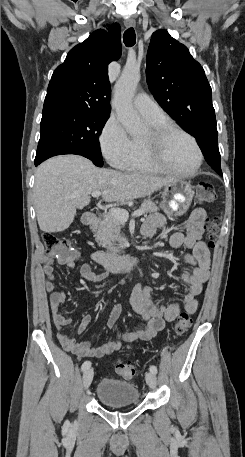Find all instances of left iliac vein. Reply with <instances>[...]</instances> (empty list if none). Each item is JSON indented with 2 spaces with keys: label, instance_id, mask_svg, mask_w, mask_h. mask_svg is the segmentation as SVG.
<instances>
[{
  "label": "left iliac vein",
  "instance_id": "1",
  "mask_svg": "<svg viewBox=\"0 0 245 457\" xmlns=\"http://www.w3.org/2000/svg\"><path fill=\"white\" fill-rule=\"evenodd\" d=\"M146 380L151 389L156 388L157 379H156V375L154 373H152V372L146 373Z\"/></svg>",
  "mask_w": 245,
  "mask_h": 457
}]
</instances>
